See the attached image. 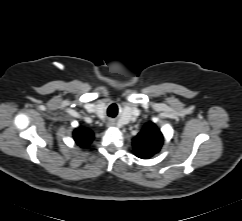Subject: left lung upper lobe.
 Masks as SVG:
<instances>
[{
	"instance_id": "left-lung-upper-lobe-1",
	"label": "left lung upper lobe",
	"mask_w": 242,
	"mask_h": 221,
	"mask_svg": "<svg viewBox=\"0 0 242 221\" xmlns=\"http://www.w3.org/2000/svg\"><path fill=\"white\" fill-rule=\"evenodd\" d=\"M162 144L163 135L152 122L147 123L133 139L134 153L142 159H148L158 153Z\"/></svg>"
}]
</instances>
